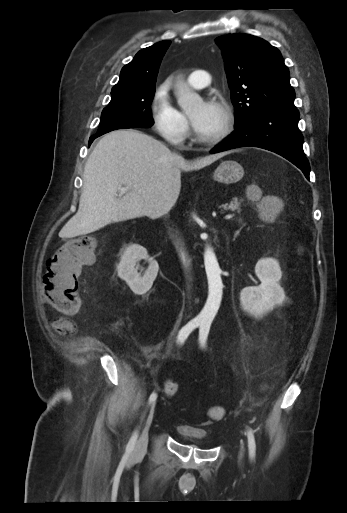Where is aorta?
<instances>
[{
    "label": "aorta",
    "mask_w": 347,
    "mask_h": 513,
    "mask_svg": "<svg viewBox=\"0 0 347 513\" xmlns=\"http://www.w3.org/2000/svg\"><path fill=\"white\" fill-rule=\"evenodd\" d=\"M178 104L186 112H190L202 103V98L192 92L190 87L182 80L176 84ZM205 270L208 278L209 295L207 302L199 314L203 321L211 322L220 306L223 284L220 277V268L211 247H207L204 254Z\"/></svg>",
    "instance_id": "1"
}]
</instances>
